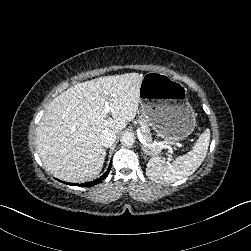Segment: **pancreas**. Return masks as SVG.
Returning <instances> with one entry per match:
<instances>
[{"label":"pancreas","mask_w":251,"mask_h":251,"mask_svg":"<svg viewBox=\"0 0 251 251\" xmlns=\"http://www.w3.org/2000/svg\"><path fill=\"white\" fill-rule=\"evenodd\" d=\"M137 122L140 125L141 133L143 135V138L146 140V142L151 145L153 140H152V134H151V129L147 122L144 119H138ZM150 150L152 153H155L159 150L158 146L150 147Z\"/></svg>","instance_id":"cf45deb5"}]
</instances>
